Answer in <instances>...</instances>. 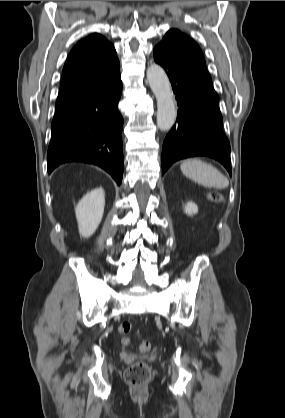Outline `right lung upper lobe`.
Masks as SVG:
<instances>
[{"label":"right lung upper lobe","instance_id":"1","mask_svg":"<svg viewBox=\"0 0 285 418\" xmlns=\"http://www.w3.org/2000/svg\"><path fill=\"white\" fill-rule=\"evenodd\" d=\"M119 70L114 46L98 33L81 39L65 62L56 107L113 79Z\"/></svg>","mask_w":285,"mask_h":418}]
</instances>
